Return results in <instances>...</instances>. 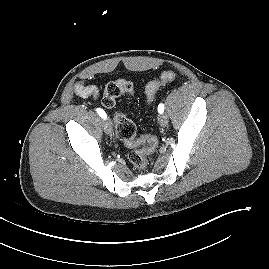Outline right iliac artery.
I'll return each instance as SVG.
<instances>
[{
  "mask_svg": "<svg viewBox=\"0 0 269 269\" xmlns=\"http://www.w3.org/2000/svg\"><path fill=\"white\" fill-rule=\"evenodd\" d=\"M97 113L99 114V116L101 117V118H103V119H106L107 118V115H106V113H105V111L103 110V109H101V108H97Z\"/></svg>",
  "mask_w": 269,
  "mask_h": 269,
  "instance_id": "right-iliac-artery-1",
  "label": "right iliac artery"
}]
</instances>
